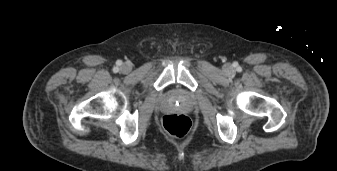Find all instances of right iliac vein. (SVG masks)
<instances>
[{
    "label": "right iliac vein",
    "instance_id": "63e3f726",
    "mask_svg": "<svg viewBox=\"0 0 337 171\" xmlns=\"http://www.w3.org/2000/svg\"><path fill=\"white\" fill-rule=\"evenodd\" d=\"M121 71L123 73H128L131 71V66L128 63H125L121 66Z\"/></svg>",
    "mask_w": 337,
    "mask_h": 171
}]
</instances>
